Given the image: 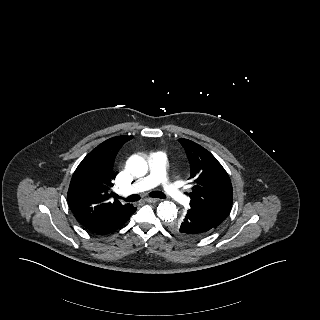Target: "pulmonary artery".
<instances>
[{"label":"pulmonary artery","instance_id":"pulmonary-artery-1","mask_svg":"<svg viewBox=\"0 0 320 320\" xmlns=\"http://www.w3.org/2000/svg\"><path fill=\"white\" fill-rule=\"evenodd\" d=\"M149 167L150 173L138 179L127 189L123 190L124 194H132L142 192L155 187L156 185H162L164 191L173 198L175 201L183 203L187 201V197L182 190L167 177L166 165L167 156L164 152H154L149 155Z\"/></svg>","mask_w":320,"mask_h":320}]
</instances>
